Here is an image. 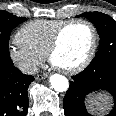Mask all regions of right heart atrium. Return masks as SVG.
<instances>
[{"label": "right heart atrium", "mask_w": 116, "mask_h": 116, "mask_svg": "<svg viewBox=\"0 0 116 116\" xmlns=\"http://www.w3.org/2000/svg\"><path fill=\"white\" fill-rule=\"evenodd\" d=\"M8 57L11 63L25 74H34L44 59L43 55L30 50L17 39H15L13 44L10 46Z\"/></svg>", "instance_id": "d8ad5b80"}]
</instances>
